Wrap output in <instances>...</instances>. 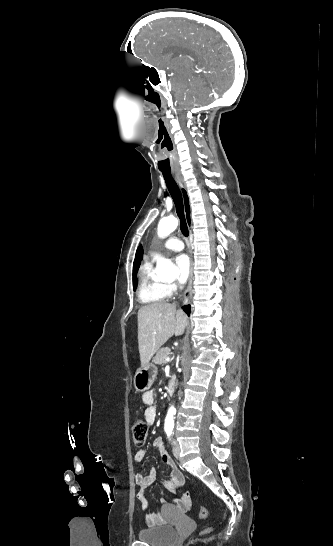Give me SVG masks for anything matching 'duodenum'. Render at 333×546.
Wrapping results in <instances>:
<instances>
[{"instance_id":"duodenum-1","label":"duodenum","mask_w":333,"mask_h":546,"mask_svg":"<svg viewBox=\"0 0 333 546\" xmlns=\"http://www.w3.org/2000/svg\"><path fill=\"white\" fill-rule=\"evenodd\" d=\"M176 386V379L174 377H170L167 382V391L169 394H173Z\"/></svg>"}]
</instances>
